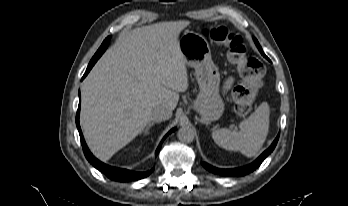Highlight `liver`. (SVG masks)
<instances>
[{"mask_svg":"<svg viewBox=\"0 0 348 206\" xmlns=\"http://www.w3.org/2000/svg\"><path fill=\"white\" fill-rule=\"evenodd\" d=\"M189 24L160 22L123 34L85 78L80 123L98 159L109 160L139 135L155 107L176 108L189 86L178 45Z\"/></svg>","mask_w":348,"mask_h":206,"instance_id":"6515ba94","label":"liver"}]
</instances>
